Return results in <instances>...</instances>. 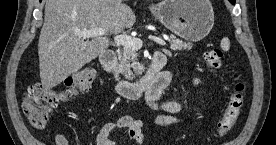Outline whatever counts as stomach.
<instances>
[{
    "label": "stomach",
    "instance_id": "obj_1",
    "mask_svg": "<svg viewBox=\"0 0 276 145\" xmlns=\"http://www.w3.org/2000/svg\"><path fill=\"white\" fill-rule=\"evenodd\" d=\"M151 11L166 28L192 42L206 37L214 24L209 0H163Z\"/></svg>",
    "mask_w": 276,
    "mask_h": 145
}]
</instances>
